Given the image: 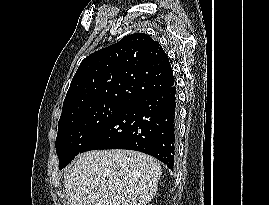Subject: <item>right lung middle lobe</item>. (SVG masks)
<instances>
[{"mask_svg": "<svg viewBox=\"0 0 269 205\" xmlns=\"http://www.w3.org/2000/svg\"><path fill=\"white\" fill-rule=\"evenodd\" d=\"M128 104L103 102L78 109L58 123L56 153L63 169Z\"/></svg>", "mask_w": 269, "mask_h": 205, "instance_id": "dd1d6c3e", "label": "right lung middle lobe"}]
</instances>
